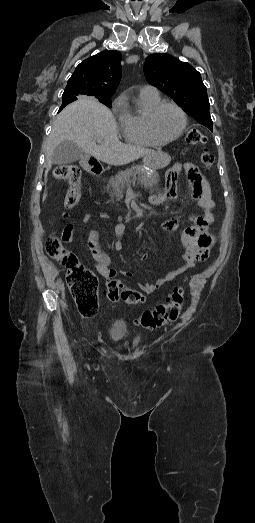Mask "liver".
Here are the masks:
<instances>
[{"label":"liver","instance_id":"6515ba94","mask_svg":"<svg viewBox=\"0 0 255 523\" xmlns=\"http://www.w3.org/2000/svg\"><path fill=\"white\" fill-rule=\"evenodd\" d=\"M68 140L75 142L86 154L94 156L100 162L111 164V166H124L139 158L147 160V156L156 154L154 150H148V148L122 144L118 138L117 124L112 112L103 104H99L95 98L80 96L77 102L66 106L53 122L47 144L45 182H47L48 172L53 164V150L58 144L68 142ZM157 154H159L160 162L167 166L171 160L170 156L164 152H157ZM46 196L47 194H43V202L46 200Z\"/></svg>","mask_w":255,"mask_h":523}]
</instances>
